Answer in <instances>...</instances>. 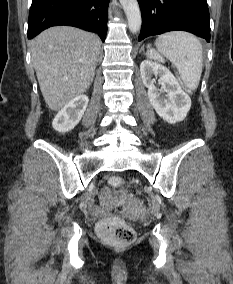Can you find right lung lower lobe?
<instances>
[{
	"mask_svg": "<svg viewBox=\"0 0 233 284\" xmlns=\"http://www.w3.org/2000/svg\"><path fill=\"white\" fill-rule=\"evenodd\" d=\"M110 0H32L28 19L31 39L51 26L70 25L96 32L102 41L107 33Z\"/></svg>",
	"mask_w": 233,
	"mask_h": 284,
	"instance_id": "1",
	"label": "right lung lower lobe"
}]
</instances>
